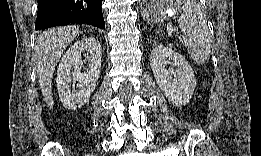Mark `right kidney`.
I'll use <instances>...</instances> for the list:
<instances>
[{"label": "right kidney", "mask_w": 261, "mask_h": 156, "mask_svg": "<svg viewBox=\"0 0 261 156\" xmlns=\"http://www.w3.org/2000/svg\"><path fill=\"white\" fill-rule=\"evenodd\" d=\"M87 52L90 69L82 73L84 61L81 55ZM102 49L99 41L93 37H85L75 42L63 55L57 70V89L63 104L72 110L80 108L93 93L100 75ZM74 71L71 72V68ZM77 81L79 91L69 83Z\"/></svg>", "instance_id": "1"}]
</instances>
